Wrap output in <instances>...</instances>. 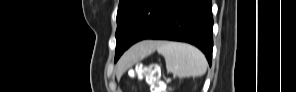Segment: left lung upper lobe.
I'll list each match as a JSON object with an SVG mask.
<instances>
[{
	"instance_id": "1",
	"label": "left lung upper lobe",
	"mask_w": 296,
	"mask_h": 92,
	"mask_svg": "<svg viewBox=\"0 0 296 92\" xmlns=\"http://www.w3.org/2000/svg\"><path fill=\"white\" fill-rule=\"evenodd\" d=\"M169 1L120 0L117 12L115 62L126 49L145 39L160 25Z\"/></svg>"
}]
</instances>
